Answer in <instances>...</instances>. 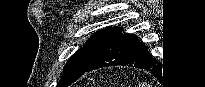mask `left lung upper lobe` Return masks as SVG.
I'll return each mask as SVG.
<instances>
[{
  "instance_id": "5c2ea615",
  "label": "left lung upper lobe",
  "mask_w": 205,
  "mask_h": 87,
  "mask_svg": "<svg viewBox=\"0 0 205 87\" xmlns=\"http://www.w3.org/2000/svg\"><path fill=\"white\" fill-rule=\"evenodd\" d=\"M115 30L116 27H109L91 36L88 44L79 49L67 62L63 75L56 87H68L81 77L99 53L106 40Z\"/></svg>"
}]
</instances>
